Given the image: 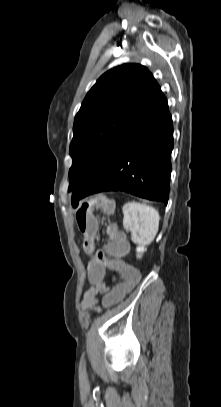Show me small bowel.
Listing matches in <instances>:
<instances>
[{"label": "small bowel", "mask_w": 221, "mask_h": 407, "mask_svg": "<svg viewBox=\"0 0 221 407\" xmlns=\"http://www.w3.org/2000/svg\"><path fill=\"white\" fill-rule=\"evenodd\" d=\"M108 288L103 286H90L83 294L81 306L84 310L95 312L96 304L98 303V295L107 292Z\"/></svg>", "instance_id": "small-bowel-1"}]
</instances>
